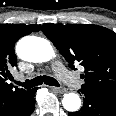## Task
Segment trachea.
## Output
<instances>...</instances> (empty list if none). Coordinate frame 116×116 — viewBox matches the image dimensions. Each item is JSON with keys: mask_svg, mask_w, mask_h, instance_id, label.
Here are the masks:
<instances>
[{"mask_svg": "<svg viewBox=\"0 0 116 116\" xmlns=\"http://www.w3.org/2000/svg\"><path fill=\"white\" fill-rule=\"evenodd\" d=\"M43 82L49 86H60V84L58 83L56 79H54L53 77L46 76V75L37 76L34 79L26 80L25 82L15 81L17 85L23 86L26 89H31L33 87L41 85Z\"/></svg>", "mask_w": 116, "mask_h": 116, "instance_id": "obj_1", "label": "trachea"}]
</instances>
